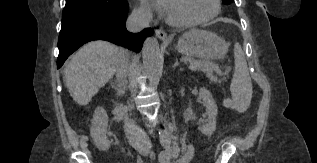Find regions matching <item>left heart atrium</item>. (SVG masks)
I'll list each match as a JSON object with an SVG mask.
<instances>
[{"label": "left heart atrium", "instance_id": "left-heart-atrium-1", "mask_svg": "<svg viewBox=\"0 0 317 163\" xmlns=\"http://www.w3.org/2000/svg\"><path fill=\"white\" fill-rule=\"evenodd\" d=\"M156 2H157L156 5H157L158 7L165 9V5H166L165 2H166V0H157Z\"/></svg>", "mask_w": 317, "mask_h": 163}]
</instances>
